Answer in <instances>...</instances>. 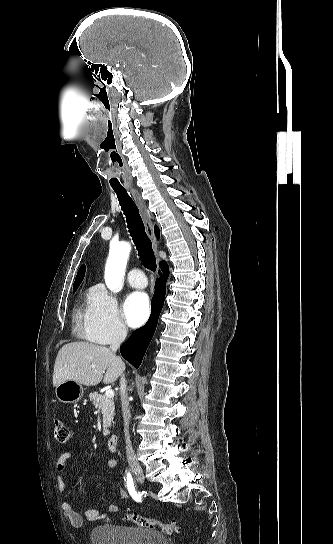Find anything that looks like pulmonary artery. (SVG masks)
Instances as JSON below:
<instances>
[{
  "mask_svg": "<svg viewBox=\"0 0 333 544\" xmlns=\"http://www.w3.org/2000/svg\"><path fill=\"white\" fill-rule=\"evenodd\" d=\"M127 278L129 284L134 288L142 289L147 286L146 276L140 269H132Z\"/></svg>",
  "mask_w": 333,
  "mask_h": 544,
  "instance_id": "e3ab8cb5",
  "label": "pulmonary artery"
}]
</instances>
